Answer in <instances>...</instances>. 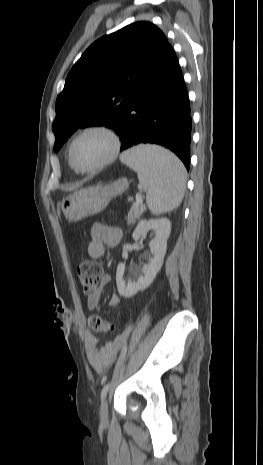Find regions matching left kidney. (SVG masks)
<instances>
[{
  "label": "left kidney",
  "mask_w": 263,
  "mask_h": 465,
  "mask_svg": "<svg viewBox=\"0 0 263 465\" xmlns=\"http://www.w3.org/2000/svg\"><path fill=\"white\" fill-rule=\"evenodd\" d=\"M151 230L155 233V237L149 243L152 257H150L148 263L142 267V274L136 279L126 282L123 279L125 265L119 264L117 266V289L119 294L125 298L132 297L139 290L146 289L153 282L162 267L167 249V240L171 232L170 221L166 218L142 220L135 228L132 237L137 241L142 234Z\"/></svg>",
  "instance_id": "1"
}]
</instances>
